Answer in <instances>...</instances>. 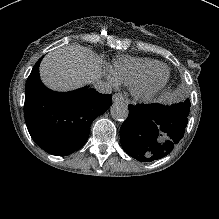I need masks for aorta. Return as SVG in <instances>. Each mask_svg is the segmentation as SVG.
I'll list each match as a JSON object with an SVG mask.
<instances>
[{
  "label": "aorta",
  "mask_w": 219,
  "mask_h": 219,
  "mask_svg": "<svg viewBox=\"0 0 219 219\" xmlns=\"http://www.w3.org/2000/svg\"><path fill=\"white\" fill-rule=\"evenodd\" d=\"M110 113L115 121H125L128 118L129 110L124 102L116 101L111 105Z\"/></svg>",
  "instance_id": "762f6f07"
}]
</instances>
